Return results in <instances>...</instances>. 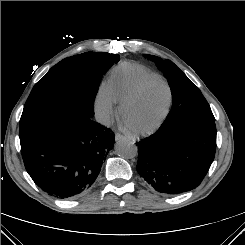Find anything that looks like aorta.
<instances>
[{"mask_svg": "<svg viewBox=\"0 0 245 245\" xmlns=\"http://www.w3.org/2000/svg\"><path fill=\"white\" fill-rule=\"evenodd\" d=\"M115 152L125 159L135 158L138 154L135 144L128 139H120L115 144Z\"/></svg>", "mask_w": 245, "mask_h": 245, "instance_id": "762f6f07", "label": "aorta"}]
</instances>
